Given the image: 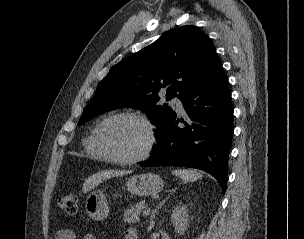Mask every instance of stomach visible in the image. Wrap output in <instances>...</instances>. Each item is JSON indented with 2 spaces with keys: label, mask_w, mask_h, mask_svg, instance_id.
Instances as JSON below:
<instances>
[{
  "label": "stomach",
  "mask_w": 304,
  "mask_h": 239,
  "mask_svg": "<svg viewBox=\"0 0 304 239\" xmlns=\"http://www.w3.org/2000/svg\"><path fill=\"white\" fill-rule=\"evenodd\" d=\"M127 190L134 195L149 196L160 192L163 180L153 173L134 175L126 181ZM87 214L94 220H103L109 214V206L105 195L100 190L91 192L86 198Z\"/></svg>",
  "instance_id": "1"
}]
</instances>
